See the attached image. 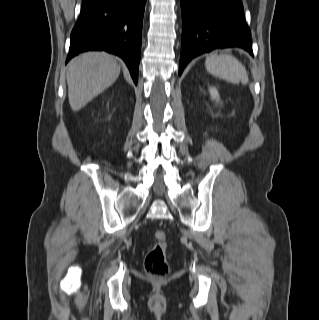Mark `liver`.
I'll return each instance as SVG.
<instances>
[{
	"mask_svg": "<svg viewBox=\"0 0 319 320\" xmlns=\"http://www.w3.org/2000/svg\"><path fill=\"white\" fill-rule=\"evenodd\" d=\"M120 65L106 52H86L73 58L67 69L68 99L79 111L119 77Z\"/></svg>",
	"mask_w": 319,
	"mask_h": 320,
	"instance_id": "obj_1",
	"label": "liver"
}]
</instances>
